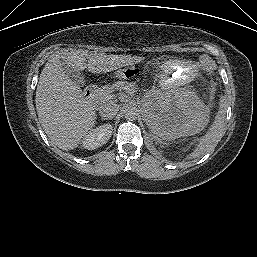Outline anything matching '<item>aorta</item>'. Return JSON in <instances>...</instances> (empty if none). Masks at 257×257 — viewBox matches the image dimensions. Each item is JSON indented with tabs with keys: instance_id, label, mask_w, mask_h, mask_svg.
I'll list each match as a JSON object with an SVG mask.
<instances>
[{
	"instance_id": "762f6f07",
	"label": "aorta",
	"mask_w": 257,
	"mask_h": 257,
	"mask_svg": "<svg viewBox=\"0 0 257 257\" xmlns=\"http://www.w3.org/2000/svg\"><path fill=\"white\" fill-rule=\"evenodd\" d=\"M138 115V110L135 107L128 106L124 109V117L128 121L136 120Z\"/></svg>"
}]
</instances>
